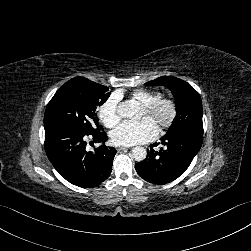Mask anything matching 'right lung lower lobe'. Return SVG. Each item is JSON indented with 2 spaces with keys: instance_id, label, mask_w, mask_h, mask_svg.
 Listing matches in <instances>:
<instances>
[{
  "instance_id": "obj_1",
  "label": "right lung lower lobe",
  "mask_w": 251,
  "mask_h": 251,
  "mask_svg": "<svg viewBox=\"0 0 251 251\" xmlns=\"http://www.w3.org/2000/svg\"><path fill=\"white\" fill-rule=\"evenodd\" d=\"M45 128L46 154L59 172L70 183L83 188L98 186L112 170L116 150L104 145L108 137L100 129L85 133L64 124H49ZM87 136L103 143L94 152L86 151Z\"/></svg>"
}]
</instances>
